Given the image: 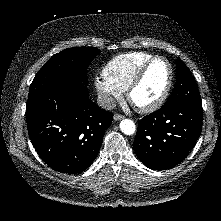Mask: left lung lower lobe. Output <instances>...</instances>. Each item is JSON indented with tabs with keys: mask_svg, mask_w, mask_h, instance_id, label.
<instances>
[{
	"mask_svg": "<svg viewBox=\"0 0 221 221\" xmlns=\"http://www.w3.org/2000/svg\"><path fill=\"white\" fill-rule=\"evenodd\" d=\"M202 104L174 102L138 121L133 149L138 159L153 170L181 163L202 130Z\"/></svg>",
	"mask_w": 221,
	"mask_h": 221,
	"instance_id": "0a47b994",
	"label": "left lung lower lobe"
}]
</instances>
